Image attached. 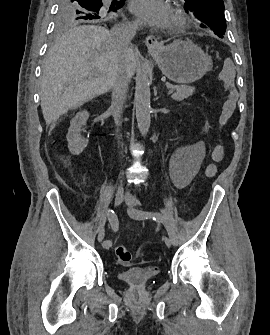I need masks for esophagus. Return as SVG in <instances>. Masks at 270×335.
<instances>
[{
    "label": "esophagus",
    "instance_id": "obj_1",
    "mask_svg": "<svg viewBox=\"0 0 270 335\" xmlns=\"http://www.w3.org/2000/svg\"><path fill=\"white\" fill-rule=\"evenodd\" d=\"M145 43L149 50H157L161 47L158 39L154 35H148L145 39Z\"/></svg>",
    "mask_w": 270,
    "mask_h": 335
}]
</instances>
